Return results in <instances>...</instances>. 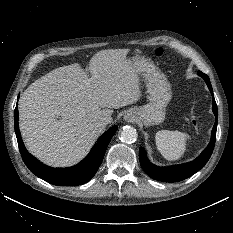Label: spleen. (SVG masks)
Wrapping results in <instances>:
<instances>
[{"instance_id": "3e777b00", "label": "spleen", "mask_w": 233, "mask_h": 233, "mask_svg": "<svg viewBox=\"0 0 233 233\" xmlns=\"http://www.w3.org/2000/svg\"><path fill=\"white\" fill-rule=\"evenodd\" d=\"M155 139L161 155L169 161H175L184 155L190 136L179 131L161 130L156 133Z\"/></svg>"}]
</instances>
